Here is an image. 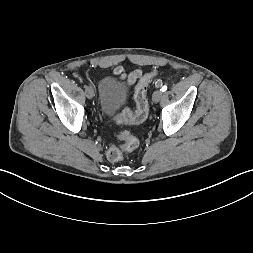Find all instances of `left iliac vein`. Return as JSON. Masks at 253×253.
I'll use <instances>...</instances> for the list:
<instances>
[{"label":"left iliac vein","mask_w":253,"mask_h":253,"mask_svg":"<svg viewBox=\"0 0 253 253\" xmlns=\"http://www.w3.org/2000/svg\"><path fill=\"white\" fill-rule=\"evenodd\" d=\"M163 95V92L161 90H156L154 93H153V96H152V99L155 103L159 102L161 97Z\"/></svg>","instance_id":"left-iliac-vein-1"}]
</instances>
